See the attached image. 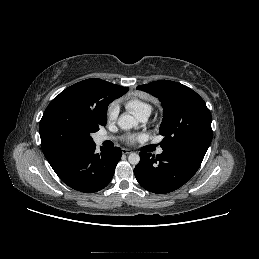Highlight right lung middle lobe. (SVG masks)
I'll return each instance as SVG.
<instances>
[{
    "instance_id": "1",
    "label": "right lung middle lobe",
    "mask_w": 259,
    "mask_h": 259,
    "mask_svg": "<svg viewBox=\"0 0 259 259\" xmlns=\"http://www.w3.org/2000/svg\"><path fill=\"white\" fill-rule=\"evenodd\" d=\"M106 121L77 111L68 105L59 104L48 114L40 132L43 148L60 151L94 144L91 133L97 132Z\"/></svg>"
}]
</instances>
